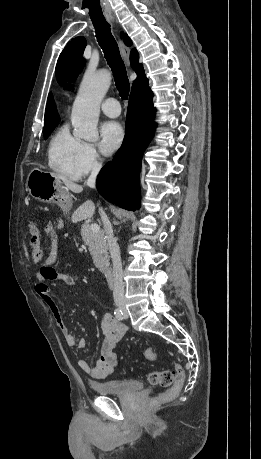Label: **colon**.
Returning a JSON list of instances; mask_svg holds the SVG:
<instances>
[{
  "label": "colon",
  "mask_w": 261,
  "mask_h": 459,
  "mask_svg": "<svg viewBox=\"0 0 261 459\" xmlns=\"http://www.w3.org/2000/svg\"><path fill=\"white\" fill-rule=\"evenodd\" d=\"M40 232L36 222H27L26 227L20 229L22 236L29 234L28 242L31 244V258L46 261L48 254L43 247ZM145 356L149 360H155L157 353L150 347L146 349ZM148 380L153 385L168 388L167 391L152 400V404L162 403L174 399L179 394L184 381V371L179 365H175L172 370H153L149 372Z\"/></svg>",
  "instance_id": "1"
}]
</instances>
